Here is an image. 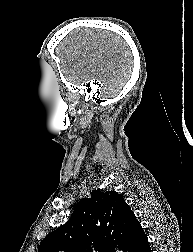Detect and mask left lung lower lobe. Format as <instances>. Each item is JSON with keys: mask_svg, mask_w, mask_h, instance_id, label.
Returning <instances> with one entry per match:
<instances>
[{"mask_svg": "<svg viewBox=\"0 0 193 252\" xmlns=\"http://www.w3.org/2000/svg\"><path fill=\"white\" fill-rule=\"evenodd\" d=\"M124 252H151L148 239L141 224L134 229Z\"/></svg>", "mask_w": 193, "mask_h": 252, "instance_id": "1", "label": "left lung lower lobe"}]
</instances>
